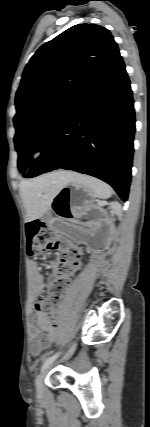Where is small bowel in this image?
Here are the masks:
<instances>
[{
	"mask_svg": "<svg viewBox=\"0 0 150 427\" xmlns=\"http://www.w3.org/2000/svg\"><path fill=\"white\" fill-rule=\"evenodd\" d=\"M60 262L51 261L50 267L57 270L52 276L51 281L57 277ZM32 279L36 291L41 292L45 287V282L39 267L35 261L30 262ZM57 338V329L52 326L44 313H36L35 325L30 328V351L33 355L40 354L47 349Z\"/></svg>",
	"mask_w": 150,
	"mask_h": 427,
	"instance_id": "obj_1",
	"label": "small bowel"
}]
</instances>
